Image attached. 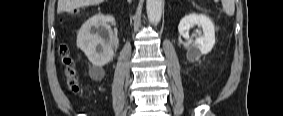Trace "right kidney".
Returning a JSON list of instances; mask_svg holds the SVG:
<instances>
[{"instance_id":"ca27d5eb","label":"right kidney","mask_w":283,"mask_h":116,"mask_svg":"<svg viewBox=\"0 0 283 116\" xmlns=\"http://www.w3.org/2000/svg\"><path fill=\"white\" fill-rule=\"evenodd\" d=\"M115 23L113 16L97 14L89 18L77 35V46L96 67L110 62L118 48L119 40L110 25Z\"/></svg>"}]
</instances>
